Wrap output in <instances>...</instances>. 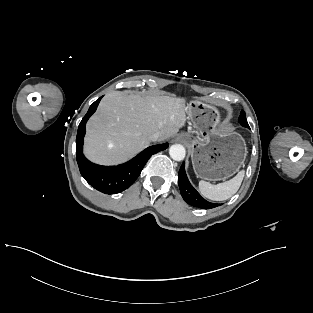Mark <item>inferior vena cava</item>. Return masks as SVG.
<instances>
[{"instance_id": "602c4592", "label": "inferior vena cava", "mask_w": 313, "mask_h": 313, "mask_svg": "<svg viewBox=\"0 0 313 313\" xmlns=\"http://www.w3.org/2000/svg\"><path fill=\"white\" fill-rule=\"evenodd\" d=\"M161 139V134L159 132H155L152 135H150L151 141H157Z\"/></svg>"}]
</instances>
